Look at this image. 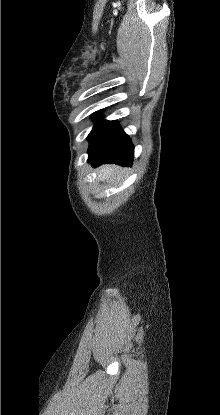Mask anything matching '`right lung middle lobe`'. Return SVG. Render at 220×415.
I'll return each instance as SVG.
<instances>
[{
	"instance_id": "obj_1",
	"label": "right lung middle lobe",
	"mask_w": 220,
	"mask_h": 415,
	"mask_svg": "<svg viewBox=\"0 0 220 415\" xmlns=\"http://www.w3.org/2000/svg\"><path fill=\"white\" fill-rule=\"evenodd\" d=\"M92 117L99 118L100 113L95 112L92 115ZM108 123H109V121L102 120L94 126V128L92 129V131L88 135V140H89V144H90L89 145V150H91L92 147L97 143L98 139L100 138L101 134L103 133V131L106 128V126L108 125Z\"/></svg>"
}]
</instances>
